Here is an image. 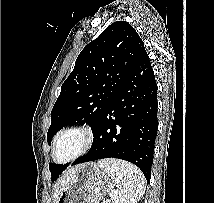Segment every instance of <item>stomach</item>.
<instances>
[{"label": "stomach", "mask_w": 214, "mask_h": 203, "mask_svg": "<svg viewBox=\"0 0 214 203\" xmlns=\"http://www.w3.org/2000/svg\"><path fill=\"white\" fill-rule=\"evenodd\" d=\"M113 183L109 174L95 163L83 164L73 182L61 192L57 203H99Z\"/></svg>", "instance_id": "obj_1"}]
</instances>
